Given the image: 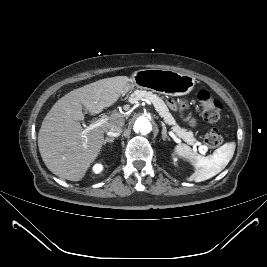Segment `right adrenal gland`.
Instances as JSON below:
<instances>
[{
    "mask_svg": "<svg viewBox=\"0 0 267 267\" xmlns=\"http://www.w3.org/2000/svg\"><path fill=\"white\" fill-rule=\"evenodd\" d=\"M114 140H115V138H106V139L104 140V142H103V145L105 146L106 143H113Z\"/></svg>",
    "mask_w": 267,
    "mask_h": 267,
    "instance_id": "1",
    "label": "right adrenal gland"
}]
</instances>
